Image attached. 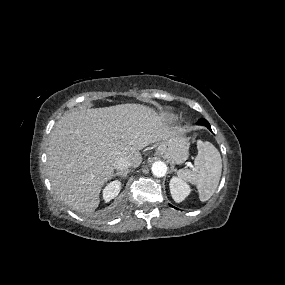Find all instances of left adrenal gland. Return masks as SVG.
I'll list each match as a JSON object with an SVG mask.
<instances>
[{
  "mask_svg": "<svg viewBox=\"0 0 285 285\" xmlns=\"http://www.w3.org/2000/svg\"><path fill=\"white\" fill-rule=\"evenodd\" d=\"M171 171H172V172H173V171H177V170L174 168L173 165L171 166Z\"/></svg>",
  "mask_w": 285,
  "mask_h": 285,
  "instance_id": "left-adrenal-gland-1",
  "label": "left adrenal gland"
}]
</instances>
